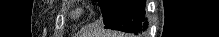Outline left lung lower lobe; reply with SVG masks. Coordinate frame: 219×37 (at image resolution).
<instances>
[{
	"instance_id": "obj_1",
	"label": "left lung lower lobe",
	"mask_w": 219,
	"mask_h": 37,
	"mask_svg": "<svg viewBox=\"0 0 219 37\" xmlns=\"http://www.w3.org/2000/svg\"><path fill=\"white\" fill-rule=\"evenodd\" d=\"M145 0H121L105 28L142 37L147 27Z\"/></svg>"
}]
</instances>
